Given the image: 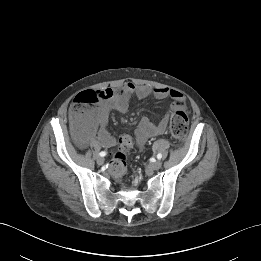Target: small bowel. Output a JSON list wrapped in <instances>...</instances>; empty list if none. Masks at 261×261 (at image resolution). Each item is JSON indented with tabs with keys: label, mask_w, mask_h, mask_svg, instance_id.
<instances>
[{
	"label": "small bowel",
	"mask_w": 261,
	"mask_h": 261,
	"mask_svg": "<svg viewBox=\"0 0 261 261\" xmlns=\"http://www.w3.org/2000/svg\"><path fill=\"white\" fill-rule=\"evenodd\" d=\"M99 103L89 115L83 125V133L79 138V145L86 146L92 142L95 135L102 146L110 148L116 144V139L108 129V119L112 111L124 114L128 111L129 102L133 97L155 99L171 98L173 109L185 108L183 94L175 89L167 87L152 88L147 85H136L126 82L118 88H105L98 92ZM169 114L165 115L159 122L152 123L143 118L135 131V144L141 149L147 140L153 136L163 134L168 126Z\"/></svg>",
	"instance_id": "1"
}]
</instances>
